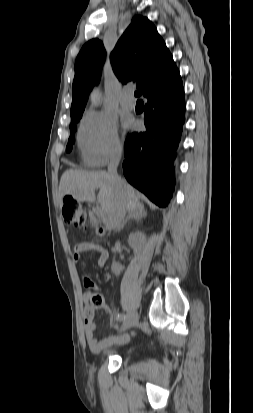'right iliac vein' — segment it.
Masks as SVG:
<instances>
[{
  "instance_id": "63e3f726",
  "label": "right iliac vein",
  "mask_w": 253,
  "mask_h": 413,
  "mask_svg": "<svg viewBox=\"0 0 253 413\" xmlns=\"http://www.w3.org/2000/svg\"><path fill=\"white\" fill-rule=\"evenodd\" d=\"M138 321V315L137 313L133 312L131 313L124 321L122 324V331L127 330L134 326Z\"/></svg>"
}]
</instances>
